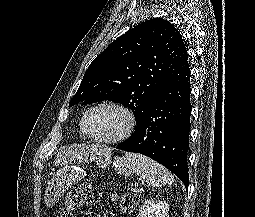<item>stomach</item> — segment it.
Listing matches in <instances>:
<instances>
[{
    "instance_id": "1",
    "label": "stomach",
    "mask_w": 255,
    "mask_h": 217,
    "mask_svg": "<svg viewBox=\"0 0 255 217\" xmlns=\"http://www.w3.org/2000/svg\"><path fill=\"white\" fill-rule=\"evenodd\" d=\"M102 163L108 160L105 157L100 158ZM113 166L118 174L130 176L133 173V167L126 157H115ZM85 172L78 166L65 165L54 173L53 178L48 183L45 190V204L48 208L55 206L65 191L71 188L84 177Z\"/></svg>"
}]
</instances>
